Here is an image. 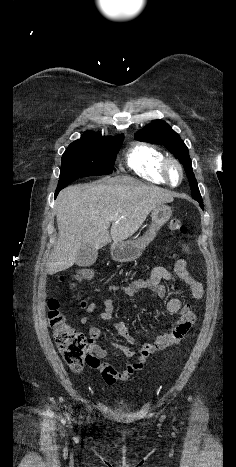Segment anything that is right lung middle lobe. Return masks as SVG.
I'll list each match as a JSON object with an SVG mask.
<instances>
[{"instance_id": "dd1d6c3e", "label": "right lung middle lobe", "mask_w": 236, "mask_h": 467, "mask_svg": "<svg viewBox=\"0 0 236 467\" xmlns=\"http://www.w3.org/2000/svg\"><path fill=\"white\" fill-rule=\"evenodd\" d=\"M123 139L124 135L102 137L94 134L71 143L62 155L58 187L64 188L82 176L110 174Z\"/></svg>"}]
</instances>
